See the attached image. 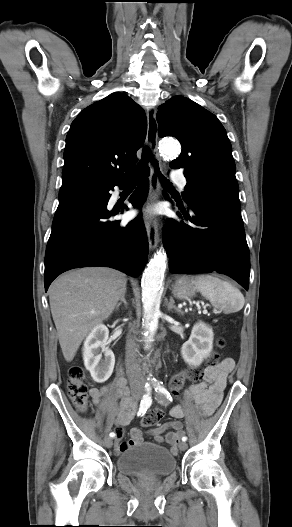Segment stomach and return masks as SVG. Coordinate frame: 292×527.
Wrapping results in <instances>:
<instances>
[{
  "label": "stomach",
  "instance_id": "stomach-1",
  "mask_svg": "<svg viewBox=\"0 0 292 527\" xmlns=\"http://www.w3.org/2000/svg\"><path fill=\"white\" fill-rule=\"evenodd\" d=\"M195 286L185 278L178 279L172 286V293L176 298L188 300L195 295Z\"/></svg>",
  "mask_w": 292,
  "mask_h": 527
}]
</instances>
